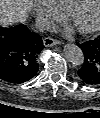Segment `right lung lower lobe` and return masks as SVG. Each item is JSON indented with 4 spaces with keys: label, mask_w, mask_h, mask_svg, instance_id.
Here are the masks:
<instances>
[{
    "label": "right lung lower lobe",
    "mask_w": 100,
    "mask_h": 118,
    "mask_svg": "<svg viewBox=\"0 0 100 118\" xmlns=\"http://www.w3.org/2000/svg\"><path fill=\"white\" fill-rule=\"evenodd\" d=\"M0 78L20 84L33 78L39 70L38 58L44 45L40 35L25 25L1 30Z\"/></svg>",
    "instance_id": "obj_1"
}]
</instances>
